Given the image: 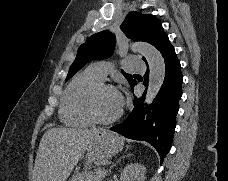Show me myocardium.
<instances>
[{
	"label": "myocardium",
	"mask_w": 228,
	"mask_h": 181,
	"mask_svg": "<svg viewBox=\"0 0 228 181\" xmlns=\"http://www.w3.org/2000/svg\"><path fill=\"white\" fill-rule=\"evenodd\" d=\"M105 89H115V85L110 82L100 81L93 88L91 95H90V99L87 104V109H88V112H89L91 118L95 122L100 123V124L112 123L115 120H117L119 118V116L121 115L120 111L116 112L114 115L109 116V117H104L99 113V111L97 109V99H98L99 93Z\"/></svg>",
	"instance_id": "myocardium-1"
}]
</instances>
